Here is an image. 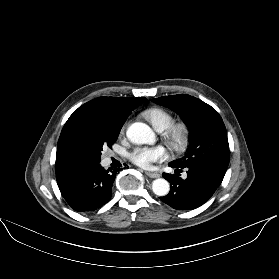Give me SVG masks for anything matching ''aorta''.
<instances>
[{
    "instance_id": "aorta-1",
    "label": "aorta",
    "mask_w": 279,
    "mask_h": 279,
    "mask_svg": "<svg viewBox=\"0 0 279 279\" xmlns=\"http://www.w3.org/2000/svg\"><path fill=\"white\" fill-rule=\"evenodd\" d=\"M126 135L128 139L134 144H150L155 140V134L153 130L146 124L136 122L131 124ZM152 190L157 196H166L169 193V182L163 178H159L153 181Z\"/></svg>"
}]
</instances>
